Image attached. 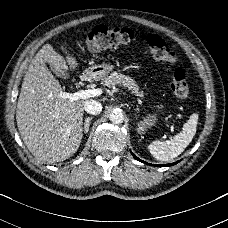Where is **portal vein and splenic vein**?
Segmentation results:
<instances>
[{
  "mask_svg": "<svg viewBox=\"0 0 228 228\" xmlns=\"http://www.w3.org/2000/svg\"><path fill=\"white\" fill-rule=\"evenodd\" d=\"M101 94V90H79L74 93L70 92H60L58 97L61 98H67L71 101H77L79 99L83 98H89L98 96ZM173 119L178 121H183V116L179 114H173ZM167 134L171 136V138H176V132L174 131V126H169V129H167ZM160 140H166V135H160Z\"/></svg>",
  "mask_w": 228,
  "mask_h": 228,
  "instance_id": "portal-vein-and-splenic-vein-1",
  "label": "portal vein and splenic vein"
}]
</instances>
